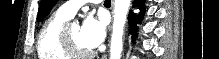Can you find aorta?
<instances>
[{"instance_id":"aorta-1","label":"aorta","mask_w":219,"mask_h":59,"mask_svg":"<svg viewBox=\"0 0 219 59\" xmlns=\"http://www.w3.org/2000/svg\"><path fill=\"white\" fill-rule=\"evenodd\" d=\"M131 0H115L113 30L110 45V59H120L123 49L124 26Z\"/></svg>"}]
</instances>
